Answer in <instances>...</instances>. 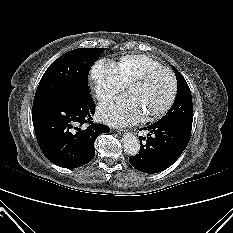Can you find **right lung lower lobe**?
<instances>
[{"label":"right lung lower lobe","mask_w":233,"mask_h":233,"mask_svg":"<svg viewBox=\"0 0 233 233\" xmlns=\"http://www.w3.org/2000/svg\"><path fill=\"white\" fill-rule=\"evenodd\" d=\"M95 113L91 94L48 100L33 105L32 120L38 145L55 165L77 168L95 156L94 142L109 127L92 123ZM90 124L88 127L84 124Z\"/></svg>","instance_id":"1"}]
</instances>
